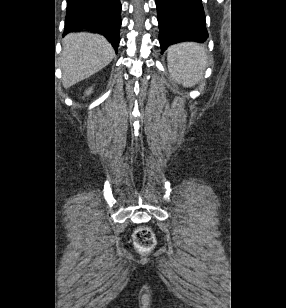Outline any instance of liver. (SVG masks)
<instances>
[{"label":"liver","instance_id":"1","mask_svg":"<svg viewBox=\"0 0 286 308\" xmlns=\"http://www.w3.org/2000/svg\"><path fill=\"white\" fill-rule=\"evenodd\" d=\"M62 45V83L65 88L94 75L115 56L111 44L98 34L71 33L63 39Z\"/></svg>","mask_w":286,"mask_h":308}]
</instances>
